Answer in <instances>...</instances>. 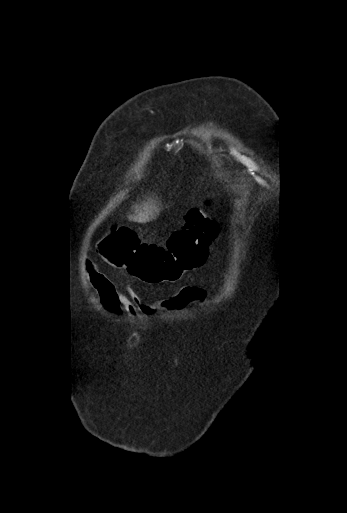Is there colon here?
I'll use <instances>...</instances> for the list:
<instances>
[{"instance_id": "colon-1", "label": "colon", "mask_w": 347, "mask_h": 513, "mask_svg": "<svg viewBox=\"0 0 347 513\" xmlns=\"http://www.w3.org/2000/svg\"><path fill=\"white\" fill-rule=\"evenodd\" d=\"M217 234L212 216L205 209L193 208L165 246L141 242L129 228L114 227L100 242L99 250L112 266L144 283L159 285L180 280L202 266Z\"/></svg>"}]
</instances>
